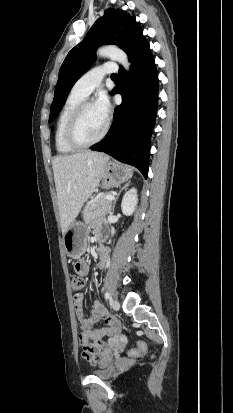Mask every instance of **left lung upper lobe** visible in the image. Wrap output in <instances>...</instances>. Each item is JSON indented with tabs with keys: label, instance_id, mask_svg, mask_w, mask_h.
<instances>
[{
	"label": "left lung upper lobe",
	"instance_id": "left-lung-upper-lobe-1",
	"mask_svg": "<svg viewBox=\"0 0 233 413\" xmlns=\"http://www.w3.org/2000/svg\"><path fill=\"white\" fill-rule=\"evenodd\" d=\"M145 37L135 18L120 9H107L98 19L86 37L66 56L59 70L49 122L61 110L75 82L85 73L95 60L94 51L100 44H114L129 54L142 43Z\"/></svg>",
	"mask_w": 233,
	"mask_h": 413
}]
</instances>
